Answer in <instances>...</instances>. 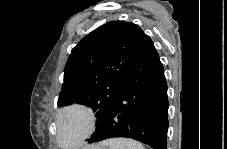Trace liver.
Here are the masks:
<instances>
[{"mask_svg": "<svg viewBox=\"0 0 227 149\" xmlns=\"http://www.w3.org/2000/svg\"><path fill=\"white\" fill-rule=\"evenodd\" d=\"M91 147H93V148H94V147H96V148H101L102 146H91Z\"/></svg>", "mask_w": 227, "mask_h": 149, "instance_id": "liver-1", "label": "liver"}]
</instances>
